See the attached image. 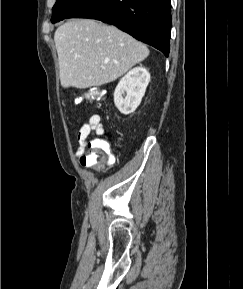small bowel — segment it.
Here are the masks:
<instances>
[{
  "label": "small bowel",
  "instance_id": "c3829d8e",
  "mask_svg": "<svg viewBox=\"0 0 243 289\" xmlns=\"http://www.w3.org/2000/svg\"><path fill=\"white\" fill-rule=\"evenodd\" d=\"M91 135H96L99 139L106 135V131L101 121V117L98 114H93L90 116L87 123H84L77 134L78 147L76 150V156L80 159L85 155L86 146L88 144V139ZM81 164L84 165L82 162Z\"/></svg>",
  "mask_w": 243,
  "mask_h": 289
}]
</instances>
